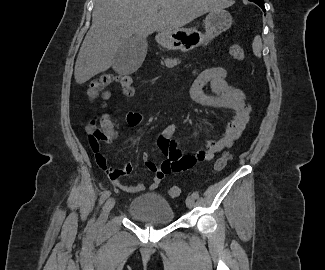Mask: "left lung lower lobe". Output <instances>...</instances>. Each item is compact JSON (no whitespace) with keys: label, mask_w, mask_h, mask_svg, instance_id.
<instances>
[{"label":"left lung lower lobe","mask_w":325,"mask_h":270,"mask_svg":"<svg viewBox=\"0 0 325 270\" xmlns=\"http://www.w3.org/2000/svg\"><path fill=\"white\" fill-rule=\"evenodd\" d=\"M249 1L255 2L257 5H259L263 9V11H265L264 1H258V0H249Z\"/></svg>","instance_id":"left-lung-lower-lobe-1"}]
</instances>
